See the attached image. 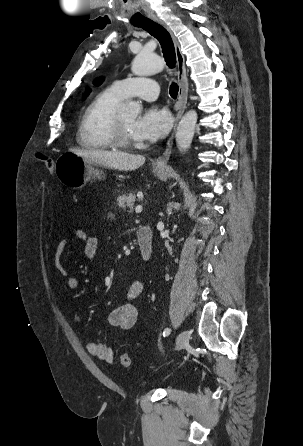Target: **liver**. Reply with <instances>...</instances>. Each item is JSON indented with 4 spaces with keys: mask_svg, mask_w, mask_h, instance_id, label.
<instances>
[{
    "mask_svg": "<svg viewBox=\"0 0 303 446\" xmlns=\"http://www.w3.org/2000/svg\"><path fill=\"white\" fill-rule=\"evenodd\" d=\"M69 151L87 161L119 171H133L145 163V157L142 155L118 151L83 150L76 148H70Z\"/></svg>",
    "mask_w": 303,
    "mask_h": 446,
    "instance_id": "obj_1",
    "label": "liver"
}]
</instances>
